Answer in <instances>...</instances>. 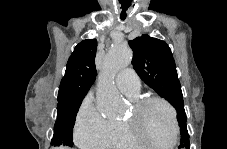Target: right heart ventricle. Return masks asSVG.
I'll use <instances>...</instances> for the list:
<instances>
[{
  "instance_id": "1",
  "label": "right heart ventricle",
  "mask_w": 227,
  "mask_h": 149,
  "mask_svg": "<svg viewBox=\"0 0 227 149\" xmlns=\"http://www.w3.org/2000/svg\"><path fill=\"white\" fill-rule=\"evenodd\" d=\"M132 99L136 100V97ZM111 146L118 149H132L141 146V144L130 135L124 121H117L116 131Z\"/></svg>"
}]
</instances>
